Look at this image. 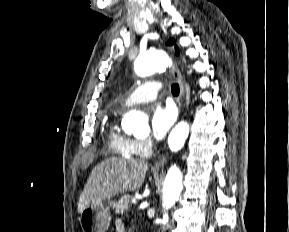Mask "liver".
Returning <instances> with one entry per match:
<instances>
[{"label": "liver", "instance_id": "liver-1", "mask_svg": "<svg viewBox=\"0 0 289 232\" xmlns=\"http://www.w3.org/2000/svg\"><path fill=\"white\" fill-rule=\"evenodd\" d=\"M148 163L139 159L110 158L91 172L80 195L78 212L120 193L134 191L144 182Z\"/></svg>", "mask_w": 289, "mask_h": 232}]
</instances>
